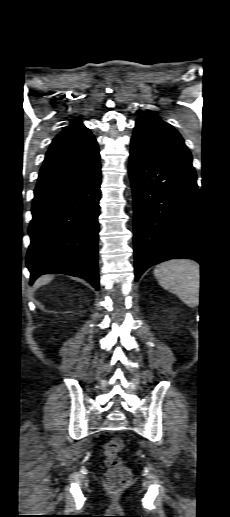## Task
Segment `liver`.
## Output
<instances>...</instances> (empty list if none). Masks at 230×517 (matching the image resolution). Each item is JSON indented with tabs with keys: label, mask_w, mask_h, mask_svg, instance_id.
I'll use <instances>...</instances> for the list:
<instances>
[{
	"label": "liver",
	"mask_w": 230,
	"mask_h": 517,
	"mask_svg": "<svg viewBox=\"0 0 230 517\" xmlns=\"http://www.w3.org/2000/svg\"><path fill=\"white\" fill-rule=\"evenodd\" d=\"M53 279V276L52 275H43L41 277H39L36 282H35V286L36 287H40L42 285H46L48 284L51 280Z\"/></svg>",
	"instance_id": "1"
}]
</instances>
